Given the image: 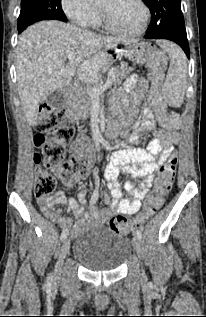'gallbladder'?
Instances as JSON below:
<instances>
[{"mask_svg": "<svg viewBox=\"0 0 206 317\" xmlns=\"http://www.w3.org/2000/svg\"><path fill=\"white\" fill-rule=\"evenodd\" d=\"M65 98L64 89H59L51 92L45 101L51 108L59 109L64 105Z\"/></svg>", "mask_w": 206, "mask_h": 317, "instance_id": "obj_1", "label": "gallbladder"}]
</instances>
